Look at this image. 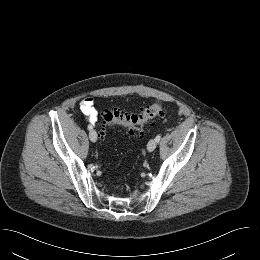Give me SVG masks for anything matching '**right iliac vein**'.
<instances>
[{
	"label": "right iliac vein",
	"instance_id": "1",
	"mask_svg": "<svg viewBox=\"0 0 260 260\" xmlns=\"http://www.w3.org/2000/svg\"><path fill=\"white\" fill-rule=\"evenodd\" d=\"M89 138L92 142H96L97 141V133L95 130H91L89 132Z\"/></svg>",
	"mask_w": 260,
	"mask_h": 260
}]
</instances>
